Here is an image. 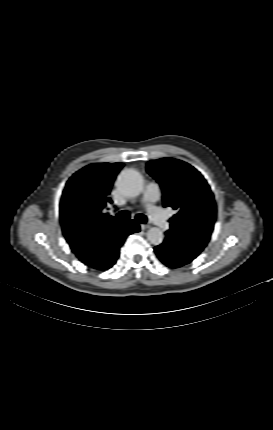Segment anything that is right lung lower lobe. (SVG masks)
<instances>
[{"instance_id":"1","label":"right lung lower lobe","mask_w":273,"mask_h":430,"mask_svg":"<svg viewBox=\"0 0 273 430\" xmlns=\"http://www.w3.org/2000/svg\"><path fill=\"white\" fill-rule=\"evenodd\" d=\"M139 231V225L131 220L116 230L101 232L89 246V257L82 262L98 270L109 269L116 263L120 247L123 245L126 237ZM68 243L72 248L71 242Z\"/></svg>"}]
</instances>
